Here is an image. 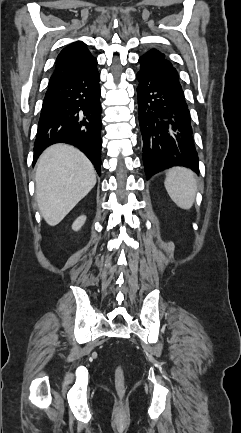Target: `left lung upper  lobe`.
<instances>
[{
	"label": "left lung upper lobe",
	"instance_id": "1",
	"mask_svg": "<svg viewBox=\"0 0 241 433\" xmlns=\"http://www.w3.org/2000/svg\"><path fill=\"white\" fill-rule=\"evenodd\" d=\"M141 64L140 70H155L163 71L176 80L178 87L183 93L182 87L179 82L177 70L173 67L170 61L166 60L164 54L156 49H151L139 58ZM184 94V93H183Z\"/></svg>",
	"mask_w": 241,
	"mask_h": 433
}]
</instances>
